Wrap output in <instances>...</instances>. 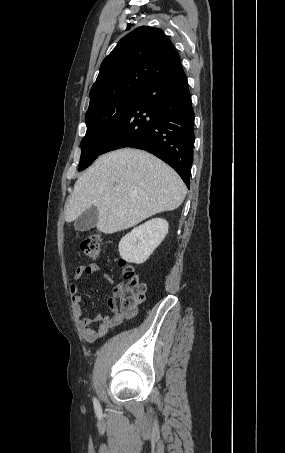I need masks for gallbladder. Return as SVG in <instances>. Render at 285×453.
Wrapping results in <instances>:
<instances>
[{
    "instance_id": "obj_1",
    "label": "gallbladder",
    "mask_w": 285,
    "mask_h": 453,
    "mask_svg": "<svg viewBox=\"0 0 285 453\" xmlns=\"http://www.w3.org/2000/svg\"><path fill=\"white\" fill-rule=\"evenodd\" d=\"M98 221V210L92 206L85 210L74 223V228L77 231L83 232L93 228Z\"/></svg>"
}]
</instances>
